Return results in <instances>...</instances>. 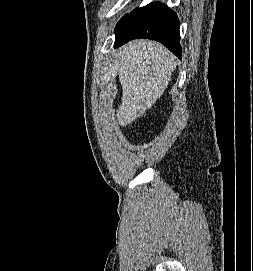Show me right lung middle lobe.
I'll use <instances>...</instances> for the list:
<instances>
[{"label":"right lung middle lobe","mask_w":253,"mask_h":271,"mask_svg":"<svg viewBox=\"0 0 253 271\" xmlns=\"http://www.w3.org/2000/svg\"><path fill=\"white\" fill-rule=\"evenodd\" d=\"M126 16V15H125ZM125 16L118 22L116 28L120 25V23L123 21V19L125 18Z\"/></svg>","instance_id":"right-lung-middle-lobe-1"}]
</instances>
